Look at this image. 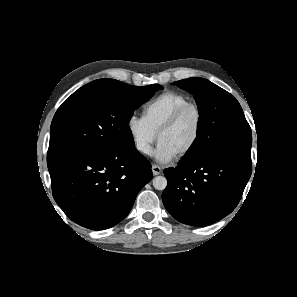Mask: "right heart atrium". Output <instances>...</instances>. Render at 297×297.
Listing matches in <instances>:
<instances>
[{
    "label": "right heart atrium",
    "instance_id": "obj_1",
    "mask_svg": "<svg viewBox=\"0 0 297 297\" xmlns=\"http://www.w3.org/2000/svg\"><path fill=\"white\" fill-rule=\"evenodd\" d=\"M127 130L135 150L142 155H149L156 139V133L143 117L131 115L127 120Z\"/></svg>",
    "mask_w": 297,
    "mask_h": 297
}]
</instances>
